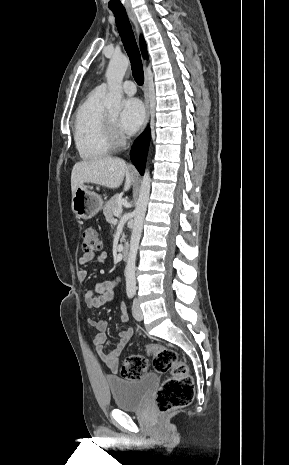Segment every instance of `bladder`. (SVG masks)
Here are the masks:
<instances>
[{"label":"bladder","mask_w":289,"mask_h":465,"mask_svg":"<svg viewBox=\"0 0 289 465\" xmlns=\"http://www.w3.org/2000/svg\"><path fill=\"white\" fill-rule=\"evenodd\" d=\"M157 381L155 374H147L135 380L109 378L108 386L118 409L137 410L144 405Z\"/></svg>","instance_id":"1"}]
</instances>
